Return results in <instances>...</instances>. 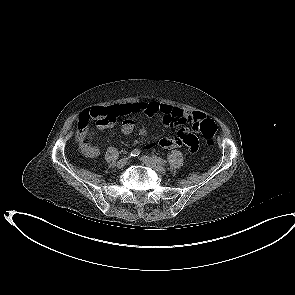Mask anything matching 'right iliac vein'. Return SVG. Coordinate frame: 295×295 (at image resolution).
I'll use <instances>...</instances> for the list:
<instances>
[{
  "instance_id": "right-iliac-vein-1",
  "label": "right iliac vein",
  "mask_w": 295,
  "mask_h": 295,
  "mask_svg": "<svg viewBox=\"0 0 295 295\" xmlns=\"http://www.w3.org/2000/svg\"><path fill=\"white\" fill-rule=\"evenodd\" d=\"M128 163V158H123V159H120L118 162H117V167L118 168H123L127 165Z\"/></svg>"
}]
</instances>
